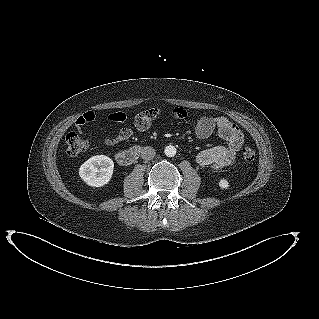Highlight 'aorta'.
Instances as JSON below:
<instances>
[{
  "mask_svg": "<svg viewBox=\"0 0 319 319\" xmlns=\"http://www.w3.org/2000/svg\"><path fill=\"white\" fill-rule=\"evenodd\" d=\"M164 153L167 157H174L176 155V148L172 145L166 146Z\"/></svg>",
  "mask_w": 319,
  "mask_h": 319,
  "instance_id": "762f6f07",
  "label": "aorta"
}]
</instances>
